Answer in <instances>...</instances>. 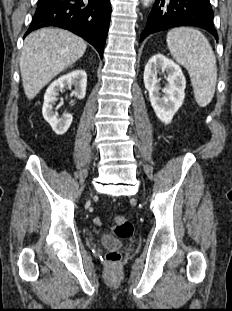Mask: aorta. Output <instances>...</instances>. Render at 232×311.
<instances>
[{"mask_svg": "<svg viewBox=\"0 0 232 311\" xmlns=\"http://www.w3.org/2000/svg\"><path fill=\"white\" fill-rule=\"evenodd\" d=\"M144 7H148L154 0H141Z\"/></svg>", "mask_w": 232, "mask_h": 311, "instance_id": "aorta-1", "label": "aorta"}]
</instances>
